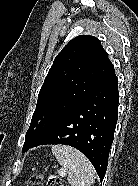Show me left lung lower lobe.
I'll list each match as a JSON object with an SVG mask.
<instances>
[{"label": "left lung lower lobe", "instance_id": "left-lung-lower-lobe-1", "mask_svg": "<svg viewBox=\"0 0 138 186\" xmlns=\"http://www.w3.org/2000/svg\"><path fill=\"white\" fill-rule=\"evenodd\" d=\"M118 116V80L111 73L62 120L32 147L65 144L81 151L93 164L102 181L108 164Z\"/></svg>", "mask_w": 138, "mask_h": 186}]
</instances>
